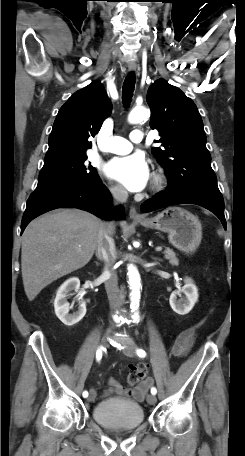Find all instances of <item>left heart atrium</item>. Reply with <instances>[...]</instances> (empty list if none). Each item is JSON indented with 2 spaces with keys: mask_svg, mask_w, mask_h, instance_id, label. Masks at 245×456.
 <instances>
[{
  "mask_svg": "<svg viewBox=\"0 0 245 456\" xmlns=\"http://www.w3.org/2000/svg\"><path fill=\"white\" fill-rule=\"evenodd\" d=\"M105 174L132 192L144 189L150 178L148 164L140 153L113 158L106 165Z\"/></svg>",
  "mask_w": 245,
  "mask_h": 456,
  "instance_id": "1",
  "label": "left heart atrium"
}]
</instances>
